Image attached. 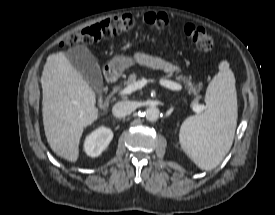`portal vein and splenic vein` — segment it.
<instances>
[{
    "label": "portal vein and splenic vein",
    "mask_w": 275,
    "mask_h": 215,
    "mask_svg": "<svg viewBox=\"0 0 275 215\" xmlns=\"http://www.w3.org/2000/svg\"><path fill=\"white\" fill-rule=\"evenodd\" d=\"M159 84L161 86H164V87L171 89L173 91L182 90V85H180L174 81H171V80L160 79ZM143 86H144V83L142 81H137L134 84H131V85L127 86L126 88L122 89L119 92V95L124 96V95L131 94L132 92L141 89ZM192 108H193V111L196 113H201L204 110V107L199 104L194 105Z\"/></svg>",
    "instance_id": "obj_1"
}]
</instances>
